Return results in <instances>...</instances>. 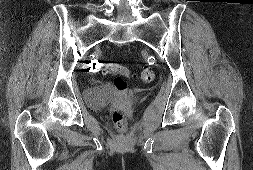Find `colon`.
Instances as JSON below:
<instances>
[{"mask_svg": "<svg viewBox=\"0 0 253 170\" xmlns=\"http://www.w3.org/2000/svg\"><path fill=\"white\" fill-rule=\"evenodd\" d=\"M101 71L114 77V83L118 90L123 91L126 89L127 83L125 78L129 76V71L125 66L116 63H103L101 64ZM154 78L155 74L150 68H142L140 79L144 83L152 82ZM112 118L118 134L124 136L127 131L125 114L121 110H117L113 112Z\"/></svg>", "mask_w": 253, "mask_h": 170, "instance_id": "colon-1", "label": "colon"}]
</instances>
